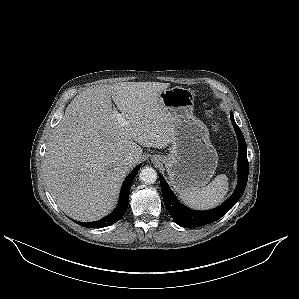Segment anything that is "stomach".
<instances>
[{
    "label": "stomach",
    "mask_w": 299,
    "mask_h": 299,
    "mask_svg": "<svg viewBox=\"0 0 299 299\" xmlns=\"http://www.w3.org/2000/svg\"><path fill=\"white\" fill-rule=\"evenodd\" d=\"M159 99L172 116L175 131L169 154L160 156L170 183L179 193L202 188L214 175L218 154L206 125L193 116L194 92L173 87L160 92Z\"/></svg>",
    "instance_id": "1"
}]
</instances>
